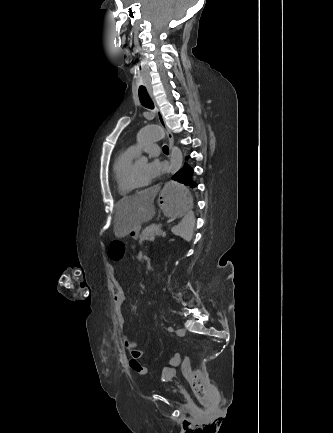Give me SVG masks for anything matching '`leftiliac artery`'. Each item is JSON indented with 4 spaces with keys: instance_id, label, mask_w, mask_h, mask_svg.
Here are the masks:
<instances>
[{
    "instance_id": "44dca946",
    "label": "left iliac artery",
    "mask_w": 333,
    "mask_h": 433,
    "mask_svg": "<svg viewBox=\"0 0 333 433\" xmlns=\"http://www.w3.org/2000/svg\"><path fill=\"white\" fill-rule=\"evenodd\" d=\"M167 329H168L169 332H173L174 331V329L171 326H169Z\"/></svg>"
}]
</instances>
